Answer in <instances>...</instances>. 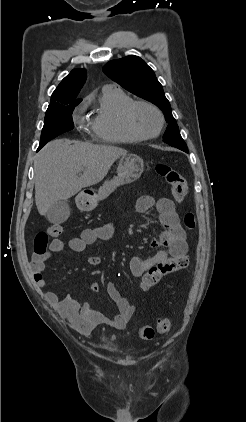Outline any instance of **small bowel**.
<instances>
[{"instance_id":"c3829d8e","label":"small bowel","mask_w":246,"mask_h":422,"mask_svg":"<svg viewBox=\"0 0 246 422\" xmlns=\"http://www.w3.org/2000/svg\"><path fill=\"white\" fill-rule=\"evenodd\" d=\"M153 207L158 211L159 221L165 230L158 239L152 240L151 246L161 247V249L150 257H133L130 260L129 267L135 277H142L150 268L157 264L170 258L186 256L188 252L186 232L180 224L174 202L169 198L155 199L149 195H143L137 200L136 209L139 212H146ZM114 232L115 226L113 224L87 228L78 237L72 238L68 244L72 251L80 253L88 245L97 241L110 240ZM63 248L64 242L60 239H53L49 244L50 253L61 252ZM48 258V253L44 255L34 253L32 256L31 267L34 272L35 282L41 289L47 287V281L42 276V272L45 269ZM87 262L91 266H99L102 260L100 257L90 256ZM86 288L96 292L100 289V285L98 282H90L86 284ZM106 291L118 308V313L113 317L105 316L95 310L89 303L80 304L70 295L59 299L55 292L48 291L44 296L59 314L66 318L71 326L81 333H90L100 325H108L113 329L123 330L134 315L136 307L113 284H107Z\"/></svg>"}]
</instances>
